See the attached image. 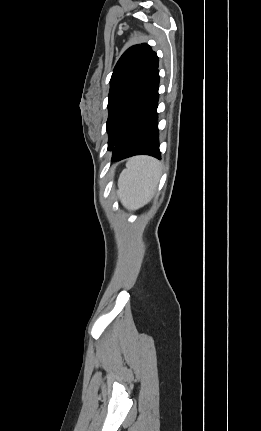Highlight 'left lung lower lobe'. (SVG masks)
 <instances>
[{
    "label": "left lung lower lobe",
    "mask_w": 261,
    "mask_h": 431,
    "mask_svg": "<svg viewBox=\"0 0 261 431\" xmlns=\"http://www.w3.org/2000/svg\"><path fill=\"white\" fill-rule=\"evenodd\" d=\"M158 68L147 79L129 104L112 148V160L134 155L161 158L158 141Z\"/></svg>",
    "instance_id": "left-lung-lower-lobe-1"
}]
</instances>
